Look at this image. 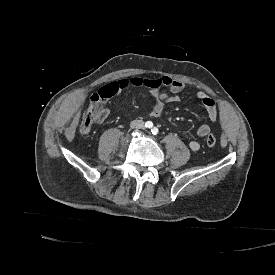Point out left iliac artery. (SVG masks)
<instances>
[{"instance_id":"obj_1","label":"left iliac artery","mask_w":275,"mask_h":275,"mask_svg":"<svg viewBox=\"0 0 275 275\" xmlns=\"http://www.w3.org/2000/svg\"><path fill=\"white\" fill-rule=\"evenodd\" d=\"M151 132H152V134L156 135V134H158L159 130L157 127H154L153 129H151Z\"/></svg>"}]
</instances>
